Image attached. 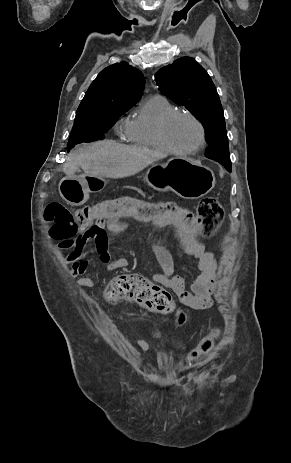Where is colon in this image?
Returning a JSON list of instances; mask_svg holds the SVG:
<instances>
[{
    "instance_id": "1",
    "label": "colon",
    "mask_w": 291,
    "mask_h": 463,
    "mask_svg": "<svg viewBox=\"0 0 291 463\" xmlns=\"http://www.w3.org/2000/svg\"><path fill=\"white\" fill-rule=\"evenodd\" d=\"M133 214L155 226H176L180 231H201L203 234H210L218 228L223 210L213 197L202 199L197 209L186 208L175 200L150 204L133 198H120L76 210H70L64 204L55 202L48 204L44 211L45 220L52 224L45 230L44 237L48 241L56 239L62 248L70 249L80 232L95 227L101 217H132ZM105 296L110 302L133 299L149 308L172 314L178 325L185 323V316L176 309L171 295L142 276H116L109 282ZM211 346L212 337L205 338L190 354V358H198L208 352Z\"/></svg>"
}]
</instances>
